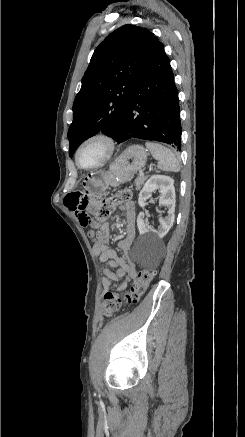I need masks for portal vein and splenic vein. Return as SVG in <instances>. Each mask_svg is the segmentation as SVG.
Returning a JSON list of instances; mask_svg holds the SVG:
<instances>
[{
    "label": "portal vein and splenic vein",
    "mask_w": 245,
    "mask_h": 437,
    "mask_svg": "<svg viewBox=\"0 0 245 437\" xmlns=\"http://www.w3.org/2000/svg\"><path fill=\"white\" fill-rule=\"evenodd\" d=\"M152 166L153 164H150L149 168L151 169ZM140 175H143V172H140Z\"/></svg>",
    "instance_id": "obj_1"
}]
</instances>
